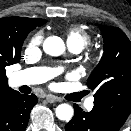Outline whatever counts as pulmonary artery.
Wrapping results in <instances>:
<instances>
[{"label": "pulmonary artery", "mask_w": 131, "mask_h": 131, "mask_svg": "<svg viewBox=\"0 0 131 131\" xmlns=\"http://www.w3.org/2000/svg\"><path fill=\"white\" fill-rule=\"evenodd\" d=\"M70 49L75 53L81 51V48L79 47H70ZM55 72L56 70L46 67H34V68L25 69L14 74L13 83L16 86L40 84L48 80ZM93 106H94L93 98L89 99L85 103V107L88 110H91Z\"/></svg>", "instance_id": "e3ab8cb5"}]
</instances>
